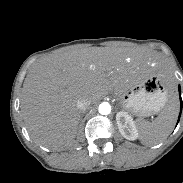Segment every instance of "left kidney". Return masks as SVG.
I'll list each match as a JSON object with an SVG mask.
<instances>
[{
  "instance_id": "1",
  "label": "left kidney",
  "mask_w": 183,
  "mask_h": 183,
  "mask_svg": "<svg viewBox=\"0 0 183 183\" xmlns=\"http://www.w3.org/2000/svg\"><path fill=\"white\" fill-rule=\"evenodd\" d=\"M116 122L121 135L127 140H136L138 138V130L132 116L125 111L116 114Z\"/></svg>"
}]
</instances>
